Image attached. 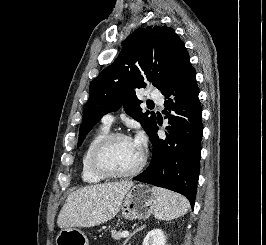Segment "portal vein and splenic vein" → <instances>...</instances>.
<instances>
[{"instance_id": "portal-vein-and-splenic-vein-1", "label": "portal vein and splenic vein", "mask_w": 266, "mask_h": 245, "mask_svg": "<svg viewBox=\"0 0 266 245\" xmlns=\"http://www.w3.org/2000/svg\"><path fill=\"white\" fill-rule=\"evenodd\" d=\"M121 237H129V231H123V233H121Z\"/></svg>"}]
</instances>
